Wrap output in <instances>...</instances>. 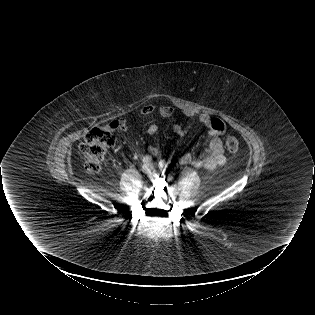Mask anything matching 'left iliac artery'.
<instances>
[{
	"mask_svg": "<svg viewBox=\"0 0 315 315\" xmlns=\"http://www.w3.org/2000/svg\"><path fill=\"white\" fill-rule=\"evenodd\" d=\"M158 165H159L160 168H163L164 166H165V168L167 167V165H166L164 160H160Z\"/></svg>",
	"mask_w": 315,
	"mask_h": 315,
	"instance_id": "obj_1",
	"label": "left iliac artery"
}]
</instances>
